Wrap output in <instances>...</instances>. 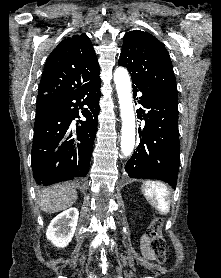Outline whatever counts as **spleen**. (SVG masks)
<instances>
[{
    "label": "spleen",
    "mask_w": 221,
    "mask_h": 278,
    "mask_svg": "<svg viewBox=\"0 0 221 278\" xmlns=\"http://www.w3.org/2000/svg\"><path fill=\"white\" fill-rule=\"evenodd\" d=\"M142 191L150 204L161 214L170 211L169 190L163 183L157 181H146Z\"/></svg>",
    "instance_id": "3e777b00"
}]
</instances>
